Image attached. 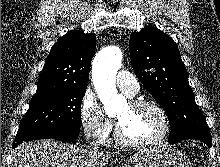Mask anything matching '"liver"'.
<instances>
[{"instance_id": "6515ba94", "label": "liver", "mask_w": 220, "mask_h": 167, "mask_svg": "<svg viewBox=\"0 0 220 167\" xmlns=\"http://www.w3.org/2000/svg\"><path fill=\"white\" fill-rule=\"evenodd\" d=\"M110 152L44 139L24 142L12 153V167H104Z\"/></svg>"}]
</instances>
